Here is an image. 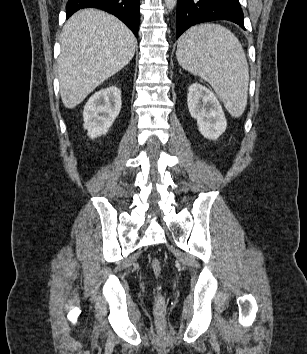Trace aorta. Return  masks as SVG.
<instances>
[{"label":"aorta","mask_w":307,"mask_h":354,"mask_svg":"<svg viewBox=\"0 0 307 354\" xmlns=\"http://www.w3.org/2000/svg\"><path fill=\"white\" fill-rule=\"evenodd\" d=\"M164 1H165V4H166V7H167L169 10L174 9V7H175L176 4H177V0H164Z\"/></svg>","instance_id":"aorta-1"}]
</instances>
